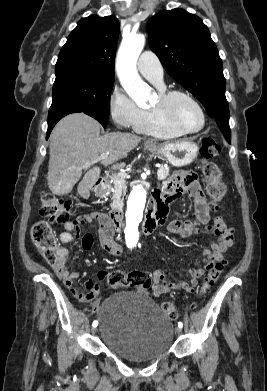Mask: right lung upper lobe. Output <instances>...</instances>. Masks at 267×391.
Segmentation results:
<instances>
[{
  "label": "right lung upper lobe",
  "instance_id": "right-lung-upper-lobe-1",
  "mask_svg": "<svg viewBox=\"0 0 267 391\" xmlns=\"http://www.w3.org/2000/svg\"><path fill=\"white\" fill-rule=\"evenodd\" d=\"M119 29L114 16L91 15L81 19L59 53L56 76L74 72L115 75Z\"/></svg>",
  "mask_w": 267,
  "mask_h": 391
}]
</instances>
